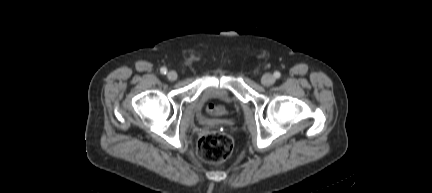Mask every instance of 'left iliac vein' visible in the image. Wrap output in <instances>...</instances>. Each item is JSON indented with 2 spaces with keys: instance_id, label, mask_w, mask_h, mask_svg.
<instances>
[{
  "instance_id": "4c4485c4",
  "label": "left iliac vein",
  "mask_w": 432,
  "mask_h": 193,
  "mask_svg": "<svg viewBox=\"0 0 432 193\" xmlns=\"http://www.w3.org/2000/svg\"><path fill=\"white\" fill-rule=\"evenodd\" d=\"M261 82L264 86H270V85L274 84L275 78L273 75L266 73L262 76Z\"/></svg>"
}]
</instances>
